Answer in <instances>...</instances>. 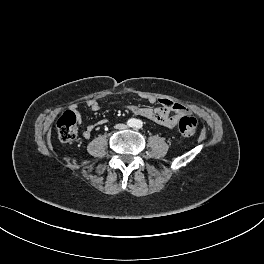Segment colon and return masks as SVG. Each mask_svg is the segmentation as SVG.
<instances>
[{"label": "colon", "mask_w": 264, "mask_h": 264, "mask_svg": "<svg viewBox=\"0 0 264 264\" xmlns=\"http://www.w3.org/2000/svg\"><path fill=\"white\" fill-rule=\"evenodd\" d=\"M56 128L61 142H72L77 136V115L73 111L64 112L57 120ZM196 128V119L191 116H183L178 124L179 132L184 137L193 136Z\"/></svg>", "instance_id": "obj_1"}]
</instances>
